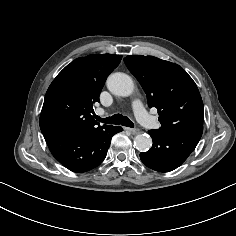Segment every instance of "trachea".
Instances as JSON below:
<instances>
[{
  "instance_id": "3493384b",
  "label": "trachea",
  "mask_w": 236,
  "mask_h": 236,
  "mask_svg": "<svg viewBox=\"0 0 236 236\" xmlns=\"http://www.w3.org/2000/svg\"><path fill=\"white\" fill-rule=\"evenodd\" d=\"M94 118H96L97 121L105 124H121L126 127H134L133 122L128 117L123 116L122 114H115L112 117L108 118H101L97 115H94Z\"/></svg>"
}]
</instances>
